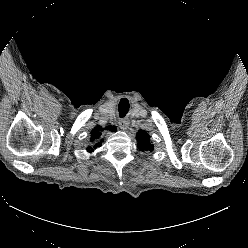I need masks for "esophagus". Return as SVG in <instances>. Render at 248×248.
I'll return each mask as SVG.
<instances>
[{"mask_svg": "<svg viewBox=\"0 0 248 248\" xmlns=\"http://www.w3.org/2000/svg\"><path fill=\"white\" fill-rule=\"evenodd\" d=\"M119 127L121 130H126L129 127V121L127 120H120Z\"/></svg>", "mask_w": 248, "mask_h": 248, "instance_id": "1", "label": "esophagus"}]
</instances>
